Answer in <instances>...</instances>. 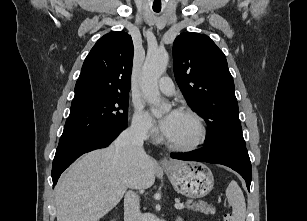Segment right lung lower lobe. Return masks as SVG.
<instances>
[{
    "label": "right lung lower lobe",
    "mask_w": 307,
    "mask_h": 221,
    "mask_svg": "<svg viewBox=\"0 0 307 221\" xmlns=\"http://www.w3.org/2000/svg\"><path fill=\"white\" fill-rule=\"evenodd\" d=\"M125 128L126 125L59 144L52 165L53 186L56 185L61 173L78 157L89 151L107 147Z\"/></svg>",
    "instance_id": "98d812e1"
}]
</instances>
